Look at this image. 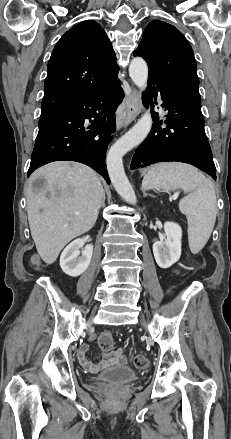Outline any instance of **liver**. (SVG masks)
I'll use <instances>...</instances> for the list:
<instances>
[{
	"label": "liver",
	"mask_w": 231,
	"mask_h": 439,
	"mask_svg": "<svg viewBox=\"0 0 231 439\" xmlns=\"http://www.w3.org/2000/svg\"><path fill=\"white\" fill-rule=\"evenodd\" d=\"M43 178L36 191L33 182ZM104 190L95 171L81 163L57 161L37 169L29 180L27 213L37 252L47 264L64 246L95 224Z\"/></svg>",
	"instance_id": "1"
}]
</instances>
